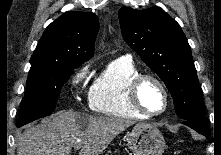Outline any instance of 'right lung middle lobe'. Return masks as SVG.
<instances>
[{"instance_id":"dd1d6c3e","label":"right lung middle lobe","mask_w":221,"mask_h":155,"mask_svg":"<svg viewBox=\"0 0 221 155\" xmlns=\"http://www.w3.org/2000/svg\"><path fill=\"white\" fill-rule=\"evenodd\" d=\"M27 90L21 101L16 126L21 127L41 117L51 115L60 90L79 65L56 62H30Z\"/></svg>"}]
</instances>
